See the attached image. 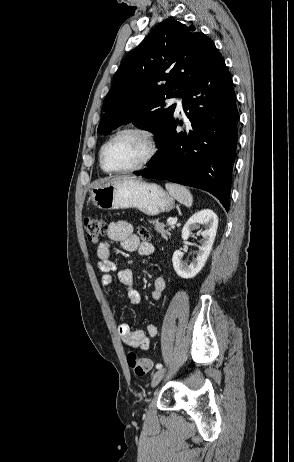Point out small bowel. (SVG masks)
Returning <instances> with one entry per match:
<instances>
[{"mask_svg":"<svg viewBox=\"0 0 294 462\" xmlns=\"http://www.w3.org/2000/svg\"><path fill=\"white\" fill-rule=\"evenodd\" d=\"M108 238L111 241L119 243L121 249L127 252H138L142 256L151 255L154 252V245L150 242H141L134 234L133 226L124 220L111 222L107 231ZM111 247L108 242L101 243L97 248L99 259L98 268L103 273L101 284L109 288L114 283L112 272H117V279L124 287L127 297L131 304H137L140 301V294L134 288V273L129 268L118 269L117 265L111 260ZM166 287V280L162 276H157L153 282L151 298L153 301H160L163 291ZM118 334L122 342L134 348L148 350L150 348L151 338L157 335L158 329L155 324H147L145 328H131L125 322H119L117 326Z\"/></svg>","mask_w":294,"mask_h":462,"instance_id":"1","label":"small bowel"}]
</instances>
